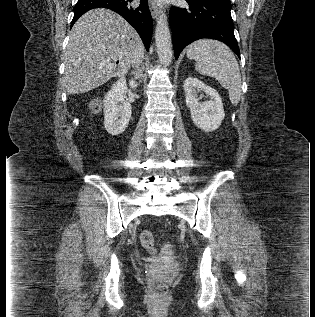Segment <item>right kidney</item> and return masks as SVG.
Wrapping results in <instances>:
<instances>
[{"instance_id":"ca27d5eb","label":"right kidney","mask_w":315,"mask_h":317,"mask_svg":"<svg viewBox=\"0 0 315 317\" xmlns=\"http://www.w3.org/2000/svg\"><path fill=\"white\" fill-rule=\"evenodd\" d=\"M129 86L137 88L138 84L130 80ZM128 87L126 79L121 77L111 87L103 100L104 127L110 135H119L125 131L132 114L131 104L125 100Z\"/></svg>"}]
</instances>
